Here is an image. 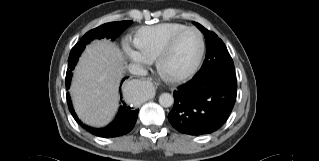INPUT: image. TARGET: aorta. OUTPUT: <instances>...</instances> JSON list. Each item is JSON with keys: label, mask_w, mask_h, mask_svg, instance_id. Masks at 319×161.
Wrapping results in <instances>:
<instances>
[{"label": "aorta", "mask_w": 319, "mask_h": 161, "mask_svg": "<svg viewBox=\"0 0 319 161\" xmlns=\"http://www.w3.org/2000/svg\"><path fill=\"white\" fill-rule=\"evenodd\" d=\"M151 87L150 85H145L140 89V94L144 93L146 90H150ZM159 103L163 107H170L174 103V98L171 94L169 93H163L159 97Z\"/></svg>", "instance_id": "aorta-1"}]
</instances>
